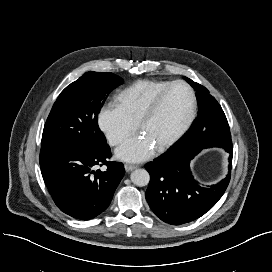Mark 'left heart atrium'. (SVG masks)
Here are the masks:
<instances>
[{"label":"left heart atrium","instance_id":"left-heart-atrium-1","mask_svg":"<svg viewBox=\"0 0 272 272\" xmlns=\"http://www.w3.org/2000/svg\"><path fill=\"white\" fill-rule=\"evenodd\" d=\"M155 146L145 135L140 134L128 139L119 149L116 156L127 162H141L152 156Z\"/></svg>","mask_w":272,"mask_h":272}]
</instances>
